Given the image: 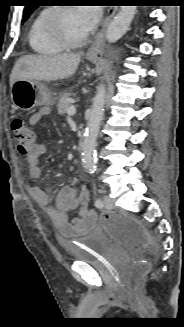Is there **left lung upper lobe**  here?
Returning a JSON list of instances; mask_svg holds the SVG:
<instances>
[{
	"mask_svg": "<svg viewBox=\"0 0 184 327\" xmlns=\"http://www.w3.org/2000/svg\"><path fill=\"white\" fill-rule=\"evenodd\" d=\"M27 5L24 8V13H23V22H25L30 14L38 7L36 4V0H27Z\"/></svg>",
	"mask_w": 184,
	"mask_h": 327,
	"instance_id": "1",
	"label": "left lung upper lobe"
}]
</instances>
